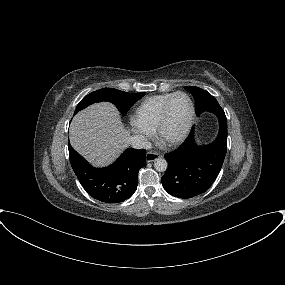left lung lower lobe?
<instances>
[{"label":"left lung lower lobe","instance_id":"left-lung-lower-lobe-1","mask_svg":"<svg viewBox=\"0 0 285 285\" xmlns=\"http://www.w3.org/2000/svg\"><path fill=\"white\" fill-rule=\"evenodd\" d=\"M205 111L218 117L220 129L215 141L197 145L192 129L179 148L165 155L168 168L161 182L172 196L186 199L204 193L221 170L227 150V118L220 106Z\"/></svg>","mask_w":285,"mask_h":285}]
</instances>
